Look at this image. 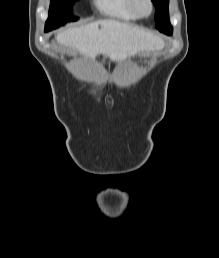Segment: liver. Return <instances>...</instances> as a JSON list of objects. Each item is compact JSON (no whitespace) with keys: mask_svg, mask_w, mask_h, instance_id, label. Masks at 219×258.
Here are the masks:
<instances>
[{"mask_svg":"<svg viewBox=\"0 0 219 258\" xmlns=\"http://www.w3.org/2000/svg\"><path fill=\"white\" fill-rule=\"evenodd\" d=\"M56 40L93 60L102 54L112 61H123L161 44V40L151 33L109 19L60 32Z\"/></svg>","mask_w":219,"mask_h":258,"instance_id":"liver-1","label":"liver"}]
</instances>
